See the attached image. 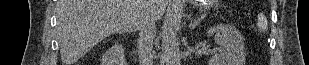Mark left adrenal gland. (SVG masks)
Returning a JSON list of instances; mask_svg holds the SVG:
<instances>
[{"label": "left adrenal gland", "instance_id": "obj_1", "mask_svg": "<svg viewBox=\"0 0 309 65\" xmlns=\"http://www.w3.org/2000/svg\"><path fill=\"white\" fill-rule=\"evenodd\" d=\"M203 18H204V16L202 15L201 17H199L198 19H195L194 21L191 20L190 24H189V29L191 31L193 29H195V27L200 24V22L202 21Z\"/></svg>", "mask_w": 309, "mask_h": 65}]
</instances>
